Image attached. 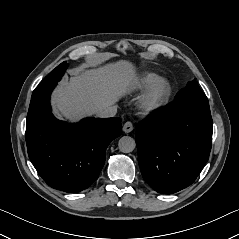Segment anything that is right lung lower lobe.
<instances>
[{
  "label": "right lung lower lobe",
  "instance_id": "right-lung-lower-lobe-1",
  "mask_svg": "<svg viewBox=\"0 0 239 239\" xmlns=\"http://www.w3.org/2000/svg\"><path fill=\"white\" fill-rule=\"evenodd\" d=\"M56 83L32 95L26 122L29 158L52 188L80 192L98 179L105 151L122 132L121 119L86 118L76 124L57 120L50 107Z\"/></svg>",
  "mask_w": 239,
  "mask_h": 239
}]
</instances>
